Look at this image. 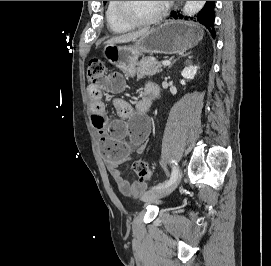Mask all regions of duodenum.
Segmentation results:
<instances>
[{
	"label": "duodenum",
	"instance_id": "410a0bca",
	"mask_svg": "<svg viewBox=\"0 0 271 266\" xmlns=\"http://www.w3.org/2000/svg\"><path fill=\"white\" fill-rule=\"evenodd\" d=\"M158 93H159L158 87L154 84H151L150 89L147 94L148 97L152 99V98L156 97L158 95Z\"/></svg>",
	"mask_w": 271,
	"mask_h": 266
}]
</instances>
